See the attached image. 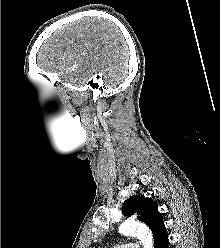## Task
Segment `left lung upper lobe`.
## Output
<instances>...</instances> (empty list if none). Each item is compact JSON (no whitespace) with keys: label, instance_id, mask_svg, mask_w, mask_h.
I'll return each mask as SVG.
<instances>
[{"label":"left lung upper lobe","instance_id":"obj_1","mask_svg":"<svg viewBox=\"0 0 220 248\" xmlns=\"http://www.w3.org/2000/svg\"><path fill=\"white\" fill-rule=\"evenodd\" d=\"M135 211H137L138 214L137 219L150 227L155 241L161 230L165 227L162 215L158 211L157 203L151 198L136 195L132 196L124 201L122 214L130 216Z\"/></svg>","mask_w":220,"mask_h":248}]
</instances>
